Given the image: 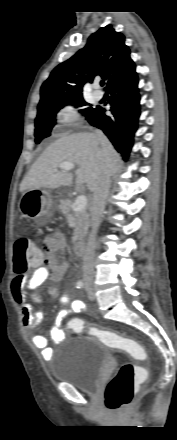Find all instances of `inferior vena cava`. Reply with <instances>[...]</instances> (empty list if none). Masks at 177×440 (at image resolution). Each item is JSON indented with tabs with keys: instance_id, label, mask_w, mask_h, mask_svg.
Masks as SVG:
<instances>
[{
	"instance_id": "obj_1",
	"label": "inferior vena cava",
	"mask_w": 177,
	"mask_h": 440,
	"mask_svg": "<svg viewBox=\"0 0 177 440\" xmlns=\"http://www.w3.org/2000/svg\"><path fill=\"white\" fill-rule=\"evenodd\" d=\"M95 134L101 138L102 134L95 131ZM109 192V176L107 167L102 164L100 173L93 188V198L91 204V233L88 238L86 250L83 256V278L84 280H93L94 277V254L96 247V234L100 224L101 215L105 209L106 199Z\"/></svg>"
}]
</instances>
